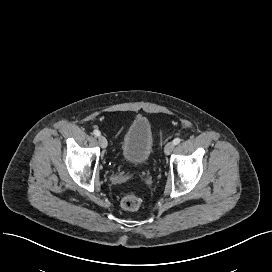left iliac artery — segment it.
Returning <instances> with one entry per match:
<instances>
[{
  "instance_id": "obj_1",
  "label": "left iliac artery",
  "mask_w": 272,
  "mask_h": 272,
  "mask_svg": "<svg viewBox=\"0 0 272 272\" xmlns=\"http://www.w3.org/2000/svg\"><path fill=\"white\" fill-rule=\"evenodd\" d=\"M180 142H181V139H180V138H175V139L173 140V143H174L175 145L179 144Z\"/></svg>"
}]
</instances>
